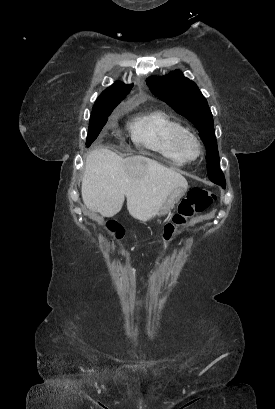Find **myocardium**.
<instances>
[{"instance_id":"f54148a6","label":"myocardium","mask_w":275,"mask_h":409,"mask_svg":"<svg viewBox=\"0 0 275 409\" xmlns=\"http://www.w3.org/2000/svg\"><path fill=\"white\" fill-rule=\"evenodd\" d=\"M184 140L191 141L195 147V154L191 157H199L201 152L199 141L196 138V136L188 130H184L181 133H179L174 140V150L177 157H184L180 153V146Z\"/></svg>"}]
</instances>
